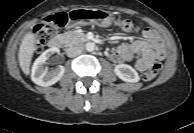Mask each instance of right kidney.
Wrapping results in <instances>:
<instances>
[{"label":"right kidney","instance_id":"ca27d5eb","mask_svg":"<svg viewBox=\"0 0 194 133\" xmlns=\"http://www.w3.org/2000/svg\"><path fill=\"white\" fill-rule=\"evenodd\" d=\"M56 52H59L57 48H50L44 51L34 62L31 72L32 81L39 86H51L59 81L64 72L65 68L59 65L53 70H48L46 67V61Z\"/></svg>","mask_w":194,"mask_h":133}]
</instances>
